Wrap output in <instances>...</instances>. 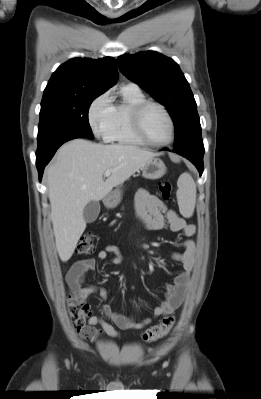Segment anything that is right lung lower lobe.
<instances>
[{"mask_svg":"<svg viewBox=\"0 0 261 399\" xmlns=\"http://www.w3.org/2000/svg\"><path fill=\"white\" fill-rule=\"evenodd\" d=\"M87 137L84 134L74 130H60L48 137L38 141V149L36 153V166L41 181L46 164L52 159L57 149L65 142L75 139ZM89 138V137H88ZM93 139V138H90Z\"/></svg>","mask_w":261,"mask_h":399,"instance_id":"98d812e1","label":"right lung lower lobe"}]
</instances>
